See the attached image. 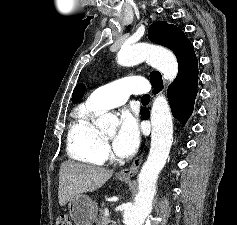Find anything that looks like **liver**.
Masks as SVG:
<instances>
[{
    "mask_svg": "<svg viewBox=\"0 0 237 225\" xmlns=\"http://www.w3.org/2000/svg\"><path fill=\"white\" fill-rule=\"evenodd\" d=\"M113 175L112 170L71 161L63 162L59 170L58 199L66 205L77 195L94 192Z\"/></svg>",
    "mask_w": 237,
    "mask_h": 225,
    "instance_id": "obj_1",
    "label": "liver"
}]
</instances>
